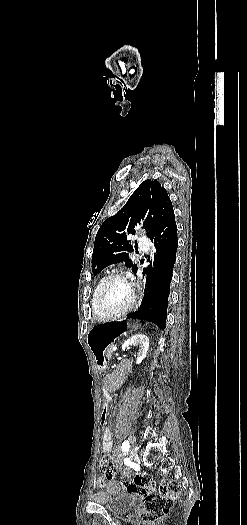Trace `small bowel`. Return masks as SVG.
I'll use <instances>...</instances> for the list:
<instances>
[{"label": "small bowel", "instance_id": "small-bowel-1", "mask_svg": "<svg viewBox=\"0 0 247 525\" xmlns=\"http://www.w3.org/2000/svg\"><path fill=\"white\" fill-rule=\"evenodd\" d=\"M114 398V395L111 393H105L104 399H107L109 402H111ZM105 425V424H103ZM102 450L105 454H111L113 457L114 463L119 466L122 462V454L119 448H116L113 451V445H112V431L110 427L106 426L103 430L102 434ZM98 485L101 487L106 486L107 482L104 478L99 477L97 480Z\"/></svg>", "mask_w": 247, "mask_h": 525}]
</instances>
